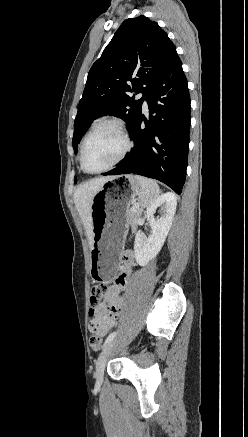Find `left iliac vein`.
<instances>
[{
	"label": "left iliac vein",
	"instance_id": "1",
	"mask_svg": "<svg viewBox=\"0 0 248 437\" xmlns=\"http://www.w3.org/2000/svg\"><path fill=\"white\" fill-rule=\"evenodd\" d=\"M116 339L111 340L110 342H108L102 352L99 354L97 361H96V370L94 373V377L96 379V382L98 384H101L103 381V375H104V369H105V365L107 362V358L110 355V353L112 352L113 348L116 345Z\"/></svg>",
	"mask_w": 248,
	"mask_h": 437
}]
</instances>
